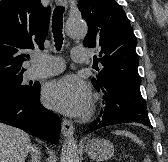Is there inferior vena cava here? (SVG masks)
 <instances>
[{"label":"inferior vena cava","mask_w":168,"mask_h":162,"mask_svg":"<svg viewBox=\"0 0 168 162\" xmlns=\"http://www.w3.org/2000/svg\"><path fill=\"white\" fill-rule=\"evenodd\" d=\"M31 158H32V162H40V151L38 150V148L36 146H33L31 148Z\"/></svg>","instance_id":"inferior-vena-cava-1"}]
</instances>
